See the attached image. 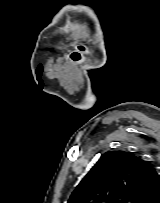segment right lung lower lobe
<instances>
[{
	"mask_svg": "<svg viewBox=\"0 0 160 203\" xmlns=\"http://www.w3.org/2000/svg\"><path fill=\"white\" fill-rule=\"evenodd\" d=\"M150 203H160V196L151 201Z\"/></svg>",
	"mask_w": 160,
	"mask_h": 203,
	"instance_id": "obj_1",
	"label": "right lung lower lobe"
}]
</instances>
